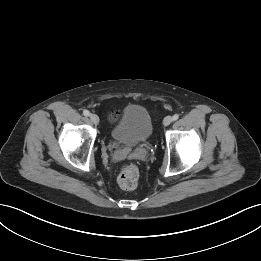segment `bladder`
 <instances>
[{
    "mask_svg": "<svg viewBox=\"0 0 261 261\" xmlns=\"http://www.w3.org/2000/svg\"><path fill=\"white\" fill-rule=\"evenodd\" d=\"M153 131L148 110L137 104L126 106L111 129V136L119 144L134 147L146 142Z\"/></svg>",
    "mask_w": 261,
    "mask_h": 261,
    "instance_id": "obj_1",
    "label": "bladder"
}]
</instances>
